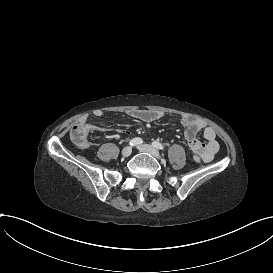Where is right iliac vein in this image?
<instances>
[{
  "mask_svg": "<svg viewBox=\"0 0 273 273\" xmlns=\"http://www.w3.org/2000/svg\"><path fill=\"white\" fill-rule=\"evenodd\" d=\"M131 152H132V148L131 147H125L122 150V156L123 157H128V156H130Z\"/></svg>",
  "mask_w": 273,
  "mask_h": 273,
  "instance_id": "obj_1",
  "label": "right iliac vein"
}]
</instances>
